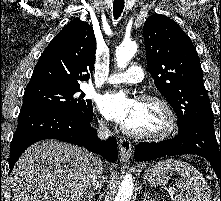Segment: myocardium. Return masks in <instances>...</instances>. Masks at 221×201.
I'll return each mask as SVG.
<instances>
[{
    "instance_id": "myocardium-1",
    "label": "myocardium",
    "mask_w": 221,
    "mask_h": 201,
    "mask_svg": "<svg viewBox=\"0 0 221 201\" xmlns=\"http://www.w3.org/2000/svg\"><path fill=\"white\" fill-rule=\"evenodd\" d=\"M137 102H154L156 103L163 111L166 124L165 127L157 132H138L135 131L126 125H122V130L135 138L138 139H148V140H161L172 136L178 127L177 116L169 104V102L162 96L158 94H141L136 98Z\"/></svg>"
}]
</instances>
